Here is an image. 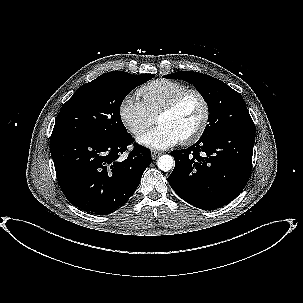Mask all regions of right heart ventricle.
Segmentation results:
<instances>
[{
  "label": "right heart ventricle",
  "instance_id": "1",
  "mask_svg": "<svg viewBox=\"0 0 303 303\" xmlns=\"http://www.w3.org/2000/svg\"><path fill=\"white\" fill-rule=\"evenodd\" d=\"M187 89L188 87L181 82L157 79L143 85L138 94L150 114L155 116L170 100Z\"/></svg>",
  "mask_w": 303,
  "mask_h": 303
}]
</instances>
